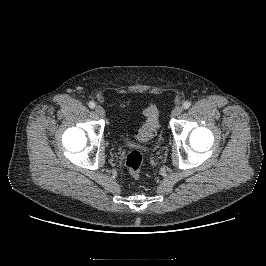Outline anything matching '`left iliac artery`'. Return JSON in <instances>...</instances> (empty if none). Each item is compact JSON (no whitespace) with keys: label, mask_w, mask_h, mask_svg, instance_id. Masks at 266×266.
<instances>
[{"label":"left iliac artery","mask_w":266,"mask_h":266,"mask_svg":"<svg viewBox=\"0 0 266 266\" xmlns=\"http://www.w3.org/2000/svg\"><path fill=\"white\" fill-rule=\"evenodd\" d=\"M182 106L184 109H188L191 106V103L189 101H185Z\"/></svg>","instance_id":"44dca946"}]
</instances>
